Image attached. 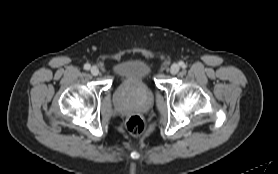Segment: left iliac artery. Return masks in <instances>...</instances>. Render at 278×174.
I'll use <instances>...</instances> for the list:
<instances>
[{"instance_id":"left-iliac-artery-1","label":"left iliac artery","mask_w":278,"mask_h":174,"mask_svg":"<svg viewBox=\"0 0 278 174\" xmlns=\"http://www.w3.org/2000/svg\"><path fill=\"white\" fill-rule=\"evenodd\" d=\"M179 65H180L181 67H184V66H185L184 62H182V61L179 62Z\"/></svg>"}]
</instances>
